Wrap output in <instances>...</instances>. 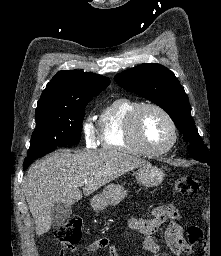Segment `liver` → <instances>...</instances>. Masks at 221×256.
Masks as SVG:
<instances>
[{"label": "liver", "mask_w": 221, "mask_h": 256, "mask_svg": "<svg viewBox=\"0 0 221 256\" xmlns=\"http://www.w3.org/2000/svg\"><path fill=\"white\" fill-rule=\"evenodd\" d=\"M148 164L116 150H59L35 163L23 179V192L35 220L37 235L51 229L52 207L60 202L73 205L82 198L78 183L83 181V194L88 196L123 174Z\"/></svg>", "instance_id": "1"}]
</instances>
